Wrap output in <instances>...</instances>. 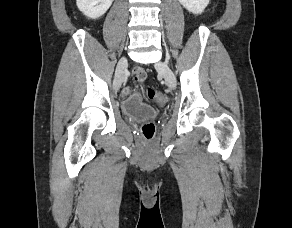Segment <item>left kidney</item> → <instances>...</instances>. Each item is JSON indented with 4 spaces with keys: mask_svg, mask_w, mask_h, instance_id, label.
I'll use <instances>...</instances> for the list:
<instances>
[{
    "mask_svg": "<svg viewBox=\"0 0 292 228\" xmlns=\"http://www.w3.org/2000/svg\"><path fill=\"white\" fill-rule=\"evenodd\" d=\"M181 5L193 14H201L210 0H178Z\"/></svg>",
    "mask_w": 292,
    "mask_h": 228,
    "instance_id": "5707ae66",
    "label": "left kidney"
}]
</instances>
